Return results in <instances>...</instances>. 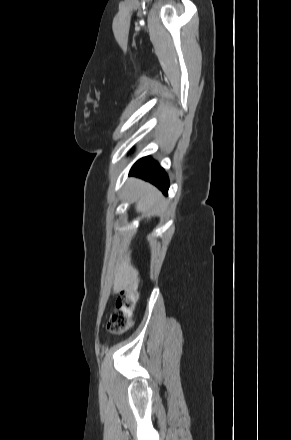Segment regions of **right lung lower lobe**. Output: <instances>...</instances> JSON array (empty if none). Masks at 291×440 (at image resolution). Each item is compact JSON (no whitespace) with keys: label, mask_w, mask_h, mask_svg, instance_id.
<instances>
[{"label":"right lung lower lobe","mask_w":291,"mask_h":440,"mask_svg":"<svg viewBox=\"0 0 291 440\" xmlns=\"http://www.w3.org/2000/svg\"><path fill=\"white\" fill-rule=\"evenodd\" d=\"M130 175L140 177L156 185L167 195L169 181L163 168L151 157H144L138 160L130 170Z\"/></svg>","instance_id":"right-lung-lower-lobe-1"}]
</instances>
